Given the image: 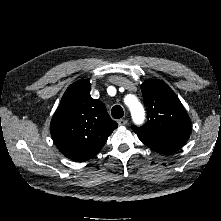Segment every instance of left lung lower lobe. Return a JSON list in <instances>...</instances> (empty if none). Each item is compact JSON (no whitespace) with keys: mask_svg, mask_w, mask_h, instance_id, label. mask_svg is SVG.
Wrapping results in <instances>:
<instances>
[{"mask_svg":"<svg viewBox=\"0 0 221 221\" xmlns=\"http://www.w3.org/2000/svg\"><path fill=\"white\" fill-rule=\"evenodd\" d=\"M139 139L152 150L168 154L177 151L186 141L181 139H164L150 134H137Z\"/></svg>","mask_w":221,"mask_h":221,"instance_id":"left-lung-lower-lobe-1","label":"left lung lower lobe"}]
</instances>
